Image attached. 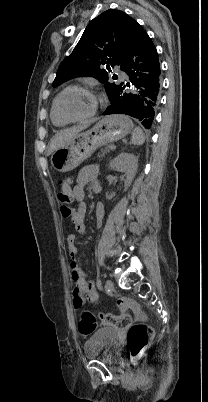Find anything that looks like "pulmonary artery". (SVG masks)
<instances>
[{
    "instance_id": "pulmonary-artery-1",
    "label": "pulmonary artery",
    "mask_w": 208,
    "mask_h": 402,
    "mask_svg": "<svg viewBox=\"0 0 208 402\" xmlns=\"http://www.w3.org/2000/svg\"><path fill=\"white\" fill-rule=\"evenodd\" d=\"M115 70H116L117 72H119V71H120V68H119L118 66H116V67H115Z\"/></svg>"
}]
</instances>
